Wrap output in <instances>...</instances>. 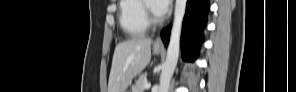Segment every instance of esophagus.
I'll use <instances>...</instances> for the list:
<instances>
[{"instance_id": "1", "label": "esophagus", "mask_w": 296, "mask_h": 92, "mask_svg": "<svg viewBox=\"0 0 296 92\" xmlns=\"http://www.w3.org/2000/svg\"><path fill=\"white\" fill-rule=\"evenodd\" d=\"M154 46L155 47H161L162 46V39H161L160 36L155 40Z\"/></svg>"}]
</instances>
